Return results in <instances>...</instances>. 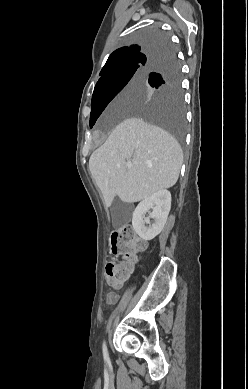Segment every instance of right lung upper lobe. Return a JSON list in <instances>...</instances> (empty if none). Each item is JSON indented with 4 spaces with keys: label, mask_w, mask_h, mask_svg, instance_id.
<instances>
[{
    "label": "right lung upper lobe",
    "mask_w": 248,
    "mask_h": 389,
    "mask_svg": "<svg viewBox=\"0 0 248 389\" xmlns=\"http://www.w3.org/2000/svg\"><path fill=\"white\" fill-rule=\"evenodd\" d=\"M163 46L165 45L142 43L140 45L119 48L109 56L100 75L104 76L116 69L134 65L146 68L153 64L156 59L160 58L159 51Z\"/></svg>",
    "instance_id": "obj_1"
}]
</instances>
